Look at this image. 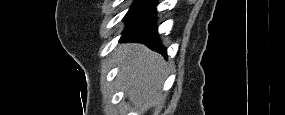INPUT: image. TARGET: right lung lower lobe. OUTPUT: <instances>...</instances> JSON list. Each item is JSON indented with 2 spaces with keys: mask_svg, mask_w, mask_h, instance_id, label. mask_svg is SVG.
<instances>
[{
  "mask_svg": "<svg viewBox=\"0 0 285 115\" xmlns=\"http://www.w3.org/2000/svg\"><path fill=\"white\" fill-rule=\"evenodd\" d=\"M155 5L127 22L120 41H134L146 44L150 49L166 56L157 33Z\"/></svg>",
  "mask_w": 285,
  "mask_h": 115,
  "instance_id": "98d812e1",
  "label": "right lung lower lobe"
}]
</instances>
